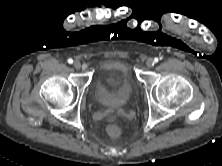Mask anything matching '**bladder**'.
Listing matches in <instances>:
<instances>
[{"instance_id":"bladder-1","label":"bladder","mask_w":222,"mask_h":166,"mask_svg":"<svg viewBox=\"0 0 222 166\" xmlns=\"http://www.w3.org/2000/svg\"><path fill=\"white\" fill-rule=\"evenodd\" d=\"M114 75L121 79L120 85L115 90L107 89L104 78ZM134 91L133 82L125 64L119 62L108 66L104 74L96 81L94 86V99L102 107L121 108L129 103Z\"/></svg>"}]
</instances>
